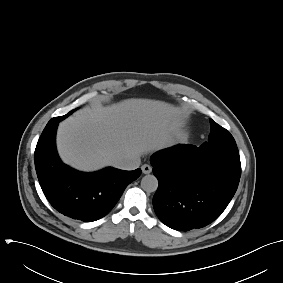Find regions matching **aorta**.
<instances>
[{
    "label": "aorta",
    "instance_id": "1",
    "mask_svg": "<svg viewBox=\"0 0 283 283\" xmlns=\"http://www.w3.org/2000/svg\"><path fill=\"white\" fill-rule=\"evenodd\" d=\"M141 187L146 192H154L158 188V180L154 175H145L141 180Z\"/></svg>",
    "mask_w": 283,
    "mask_h": 283
}]
</instances>
